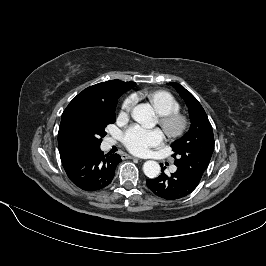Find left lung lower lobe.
Returning <instances> with one entry per match:
<instances>
[{"instance_id":"1","label":"left lung lower lobe","mask_w":266,"mask_h":266,"mask_svg":"<svg viewBox=\"0 0 266 266\" xmlns=\"http://www.w3.org/2000/svg\"><path fill=\"white\" fill-rule=\"evenodd\" d=\"M163 173L155 179L146 180L148 188L157 196L166 200H175L189 195L199 183L193 181L186 173L177 168L170 176Z\"/></svg>"}]
</instances>
